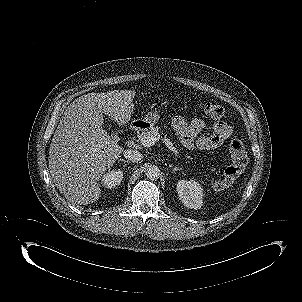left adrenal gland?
I'll use <instances>...</instances> for the list:
<instances>
[{
	"label": "left adrenal gland",
	"instance_id": "obj_1",
	"mask_svg": "<svg viewBox=\"0 0 302 302\" xmlns=\"http://www.w3.org/2000/svg\"><path fill=\"white\" fill-rule=\"evenodd\" d=\"M170 167L172 168V171H173V172L178 171V170H181V168H178V167H176V166H175V167H174V166H170Z\"/></svg>",
	"mask_w": 302,
	"mask_h": 302
}]
</instances>
